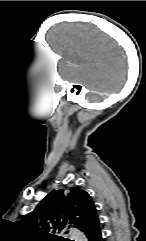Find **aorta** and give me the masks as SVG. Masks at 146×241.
<instances>
[{
  "mask_svg": "<svg viewBox=\"0 0 146 241\" xmlns=\"http://www.w3.org/2000/svg\"><path fill=\"white\" fill-rule=\"evenodd\" d=\"M70 237L74 241H87L85 235L77 229L70 230Z\"/></svg>",
  "mask_w": 146,
  "mask_h": 241,
  "instance_id": "1",
  "label": "aorta"
}]
</instances>
